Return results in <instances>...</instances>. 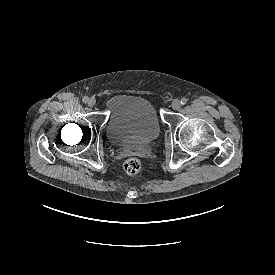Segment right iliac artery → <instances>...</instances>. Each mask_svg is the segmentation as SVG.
<instances>
[{"label":"right iliac artery","mask_w":275,"mask_h":275,"mask_svg":"<svg viewBox=\"0 0 275 275\" xmlns=\"http://www.w3.org/2000/svg\"><path fill=\"white\" fill-rule=\"evenodd\" d=\"M82 101H83L84 103H87V102L89 101V98H88L87 96H84L83 99H82Z\"/></svg>","instance_id":"1"}]
</instances>
